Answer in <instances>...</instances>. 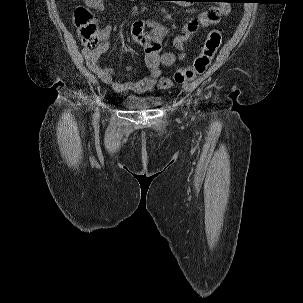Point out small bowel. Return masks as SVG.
Here are the masks:
<instances>
[{"label":"small bowel","mask_w":303,"mask_h":303,"mask_svg":"<svg viewBox=\"0 0 303 303\" xmlns=\"http://www.w3.org/2000/svg\"><path fill=\"white\" fill-rule=\"evenodd\" d=\"M107 0H86L87 4L97 12L105 9ZM136 1V0H131ZM139 8L136 7L135 11ZM229 12L227 4L211 7L209 10L200 14L198 19L189 20L182 31L174 38V47L182 51L187 43L194 37L201 28L217 24L223 16ZM145 27L150 28V32L145 31ZM112 31L111 26L105 27L101 32L102 42L95 49H83L87 66L106 84L110 85L115 91L125 92H152L155 89V83L163 74V68L174 65L176 62L184 59V54H175L172 52L162 53V40L168 34V28L157 19L135 20L131 25V34L134 40L143 46L145 52V63L150 73L147 77L133 81L125 78L116 81L113 77V70L104 67L99 60L103 53L109 47V36ZM147 42V43H146ZM129 70V67L126 68ZM171 81L168 78H161L160 88H168Z\"/></svg>","instance_id":"obj_1"}]
</instances>
